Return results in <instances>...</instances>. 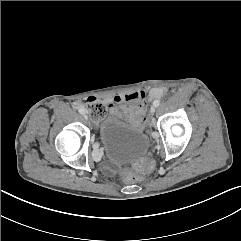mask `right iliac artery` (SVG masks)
Masks as SVG:
<instances>
[{"mask_svg": "<svg viewBox=\"0 0 241 241\" xmlns=\"http://www.w3.org/2000/svg\"><path fill=\"white\" fill-rule=\"evenodd\" d=\"M78 111H79V113H81V114H84V113H85L84 109H82V108L78 109Z\"/></svg>", "mask_w": 241, "mask_h": 241, "instance_id": "right-iliac-artery-1", "label": "right iliac artery"}]
</instances>
